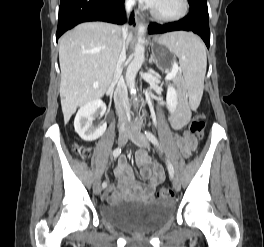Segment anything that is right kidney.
I'll list each match as a JSON object with an SVG mask.
<instances>
[{
  "instance_id": "ca27d5eb",
  "label": "right kidney",
  "mask_w": 264,
  "mask_h": 247,
  "mask_svg": "<svg viewBox=\"0 0 264 247\" xmlns=\"http://www.w3.org/2000/svg\"><path fill=\"white\" fill-rule=\"evenodd\" d=\"M105 111L106 105L101 100L88 102L78 110L74 120V127L75 131L84 141H94L105 133L107 128L106 123L99 126H93L92 124L95 117Z\"/></svg>"
}]
</instances>
